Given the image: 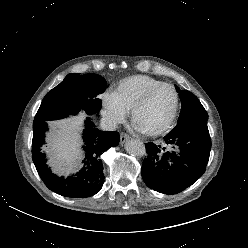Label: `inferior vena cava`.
<instances>
[{"mask_svg": "<svg viewBox=\"0 0 248 248\" xmlns=\"http://www.w3.org/2000/svg\"><path fill=\"white\" fill-rule=\"evenodd\" d=\"M117 127V123L113 119L102 118L100 121V128L104 131H114Z\"/></svg>", "mask_w": 248, "mask_h": 248, "instance_id": "1", "label": "inferior vena cava"}]
</instances>
